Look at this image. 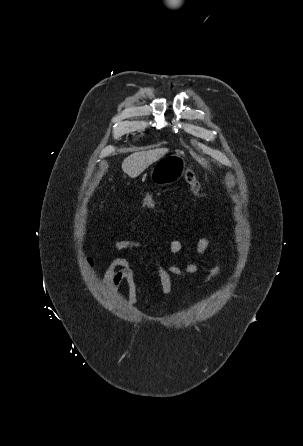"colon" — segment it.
<instances>
[{
  "label": "colon",
  "instance_id": "colon-1",
  "mask_svg": "<svg viewBox=\"0 0 303 446\" xmlns=\"http://www.w3.org/2000/svg\"><path fill=\"white\" fill-rule=\"evenodd\" d=\"M184 180L187 183V185L190 187V189L192 190V192L199 196L202 197L204 196V193L202 191L201 188V184L199 182L198 177L196 176V174L192 171V170H185L184 174H183ZM155 197H156V193L155 192H151L149 193L142 201V207L143 208H150L153 206L154 202H155Z\"/></svg>",
  "mask_w": 303,
  "mask_h": 446
}]
</instances>
